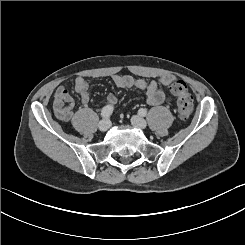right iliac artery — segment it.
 <instances>
[{"label": "right iliac artery", "mask_w": 245, "mask_h": 245, "mask_svg": "<svg viewBox=\"0 0 245 245\" xmlns=\"http://www.w3.org/2000/svg\"><path fill=\"white\" fill-rule=\"evenodd\" d=\"M112 112H113V107L110 105H107V106L103 107V109L101 111V116L103 118H109L110 115L112 114Z\"/></svg>", "instance_id": "obj_1"}]
</instances>
